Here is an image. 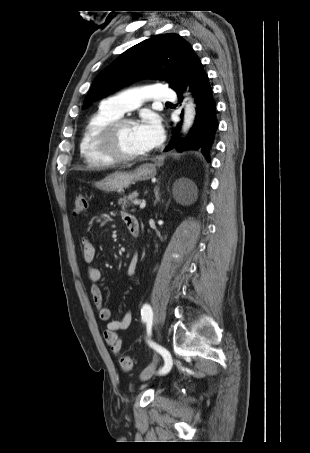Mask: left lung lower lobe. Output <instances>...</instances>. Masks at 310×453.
Masks as SVG:
<instances>
[{"instance_id": "obj_1", "label": "left lung lower lobe", "mask_w": 310, "mask_h": 453, "mask_svg": "<svg viewBox=\"0 0 310 453\" xmlns=\"http://www.w3.org/2000/svg\"><path fill=\"white\" fill-rule=\"evenodd\" d=\"M184 86H189L193 93L197 104V116L188 136L183 140L175 134V143L169 144L165 151L171 150L173 147L178 151L200 150L209 161V150L218 128L216 106L208 76L194 52L191 54L178 84L173 88L178 94L179 101L182 100L180 88Z\"/></svg>"}]
</instances>
